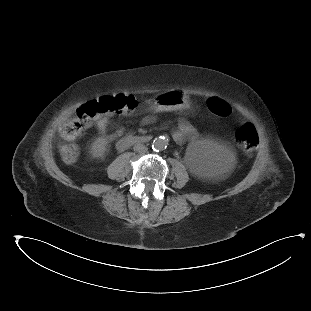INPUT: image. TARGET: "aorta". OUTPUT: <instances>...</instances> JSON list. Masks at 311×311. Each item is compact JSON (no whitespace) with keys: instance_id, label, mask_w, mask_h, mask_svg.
<instances>
[{"instance_id":"aorta-1","label":"aorta","mask_w":311,"mask_h":311,"mask_svg":"<svg viewBox=\"0 0 311 311\" xmlns=\"http://www.w3.org/2000/svg\"><path fill=\"white\" fill-rule=\"evenodd\" d=\"M165 142L161 139H155L152 145L154 151H162L164 150Z\"/></svg>"}]
</instances>
